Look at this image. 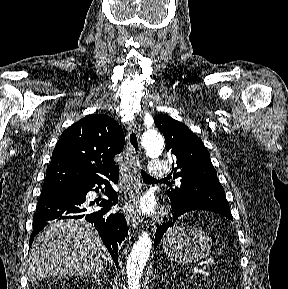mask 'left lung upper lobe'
Listing matches in <instances>:
<instances>
[{"label": "left lung upper lobe", "instance_id": "1", "mask_svg": "<svg viewBox=\"0 0 288 289\" xmlns=\"http://www.w3.org/2000/svg\"><path fill=\"white\" fill-rule=\"evenodd\" d=\"M154 123L164 135L173 165H177L173 178L181 182L178 186L171 184L167 190L171 203L216 212L233 220L224 189L201 138L168 115L155 116Z\"/></svg>", "mask_w": 288, "mask_h": 289}]
</instances>
